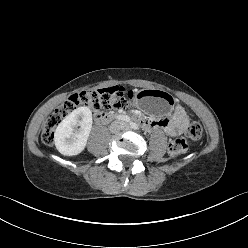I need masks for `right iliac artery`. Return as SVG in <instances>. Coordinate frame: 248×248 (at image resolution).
<instances>
[{
	"label": "right iliac artery",
	"instance_id": "right-iliac-artery-1",
	"mask_svg": "<svg viewBox=\"0 0 248 248\" xmlns=\"http://www.w3.org/2000/svg\"><path fill=\"white\" fill-rule=\"evenodd\" d=\"M118 119L119 120H123V121H126V122H129L130 121V118L126 115H119L118 116Z\"/></svg>",
	"mask_w": 248,
	"mask_h": 248
}]
</instances>
